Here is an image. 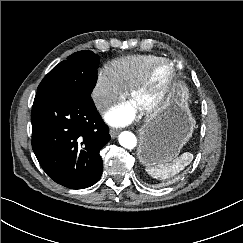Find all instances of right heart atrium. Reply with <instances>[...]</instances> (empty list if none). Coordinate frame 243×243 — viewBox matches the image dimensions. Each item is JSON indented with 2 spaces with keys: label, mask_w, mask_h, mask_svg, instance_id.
<instances>
[{
  "label": "right heart atrium",
  "mask_w": 243,
  "mask_h": 243,
  "mask_svg": "<svg viewBox=\"0 0 243 243\" xmlns=\"http://www.w3.org/2000/svg\"><path fill=\"white\" fill-rule=\"evenodd\" d=\"M124 90L110 77L106 70L98 73L92 90V100L98 111L103 112L118 102Z\"/></svg>",
  "instance_id": "obj_1"
}]
</instances>
